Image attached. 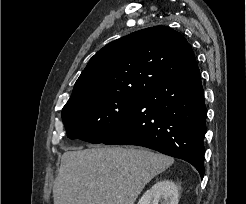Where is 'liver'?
I'll return each instance as SVG.
<instances>
[{
    "label": "liver",
    "instance_id": "obj_1",
    "mask_svg": "<svg viewBox=\"0 0 246 204\" xmlns=\"http://www.w3.org/2000/svg\"><path fill=\"white\" fill-rule=\"evenodd\" d=\"M173 162L142 148L65 151L53 185L54 204H134L145 185Z\"/></svg>",
    "mask_w": 246,
    "mask_h": 204
}]
</instances>
